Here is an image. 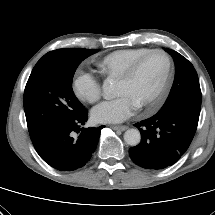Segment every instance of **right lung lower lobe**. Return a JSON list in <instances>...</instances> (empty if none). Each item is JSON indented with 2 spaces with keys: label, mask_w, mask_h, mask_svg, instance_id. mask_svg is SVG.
Here are the masks:
<instances>
[{
  "label": "right lung lower lobe",
  "mask_w": 215,
  "mask_h": 215,
  "mask_svg": "<svg viewBox=\"0 0 215 215\" xmlns=\"http://www.w3.org/2000/svg\"><path fill=\"white\" fill-rule=\"evenodd\" d=\"M87 121V110L65 123L45 132L32 140L40 157L60 171H74L83 167L95 151L100 131L105 126L86 128L80 132V125ZM75 132H80L78 137Z\"/></svg>",
  "instance_id": "right-lung-lower-lobe-1"
}]
</instances>
